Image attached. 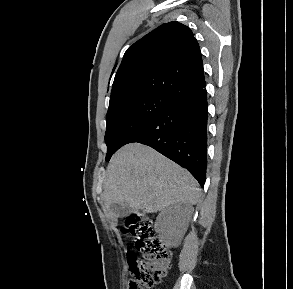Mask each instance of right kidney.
Wrapping results in <instances>:
<instances>
[{
  "mask_svg": "<svg viewBox=\"0 0 293 289\" xmlns=\"http://www.w3.org/2000/svg\"><path fill=\"white\" fill-rule=\"evenodd\" d=\"M191 209L187 205L175 204L162 210L155 222L156 230L169 245H178L188 227Z\"/></svg>",
  "mask_w": 293,
  "mask_h": 289,
  "instance_id": "obj_1",
  "label": "right kidney"
}]
</instances>
